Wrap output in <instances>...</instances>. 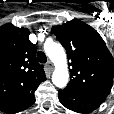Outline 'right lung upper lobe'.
Masks as SVG:
<instances>
[{"instance_id": "obj_1", "label": "right lung upper lobe", "mask_w": 114, "mask_h": 114, "mask_svg": "<svg viewBox=\"0 0 114 114\" xmlns=\"http://www.w3.org/2000/svg\"><path fill=\"white\" fill-rule=\"evenodd\" d=\"M29 31L12 24L0 27V104L38 87L46 80L36 60Z\"/></svg>"}]
</instances>
